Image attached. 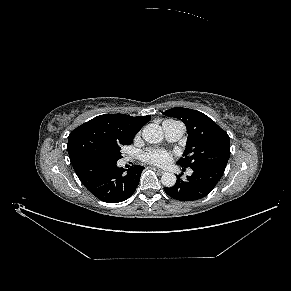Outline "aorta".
Instances as JSON below:
<instances>
[{
	"instance_id": "obj_1",
	"label": "aorta",
	"mask_w": 291,
	"mask_h": 291,
	"mask_svg": "<svg viewBox=\"0 0 291 291\" xmlns=\"http://www.w3.org/2000/svg\"><path fill=\"white\" fill-rule=\"evenodd\" d=\"M143 139L151 144L160 143L163 140V132L155 125H148L143 129ZM176 176L173 173H164L161 177V182L165 187H172L176 183Z\"/></svg>"
}]
</instances>
